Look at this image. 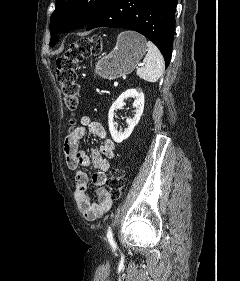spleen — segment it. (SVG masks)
Listing matches in <instances>:
<instances>
[{
	"label": "spleen",
	"mask_w": 240,
	"mask_h": 281,
	"mask_svg": "<svg viewBox=\"0 0 240 281\" xmlns=\"http://www.w3.org/2000/svg\"><path fill=\"white\" fill-rule=\"evenodd\" d=\"M148 52L143 60L144 66L137 69V75L148 82H156L164 71V59L159 49L151 42H147Z\"/></svg>",
	"instance_id": "obj_1"
}]
</instances>
